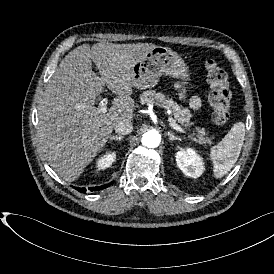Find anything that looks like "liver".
Instances as JSON below:
<instances>
[{"instance_id":"1","label":"liver","mask_w":274,"mask_h":274,"mask_svg":"<svg viewBox=\"0 0 274 274\" xmlns=\"http://www.w3.org/2000/svg\"><path fill=\"white\" fill-rule=\"evenodd\" d=\"M155 47L151 43L82 44L60 62L39 100L37 136L47 161L65 181L83 173L117 123L133 119L132 67ZM105 85L117 96L107 113L99 114L95 99Z\"/></svg>"}]
</instances>
